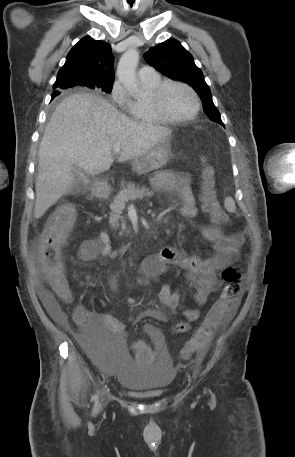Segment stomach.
<instances>
[{
    "instance_id": "1",
    "label": "stomach",
    "mask_w": 295,
    "mask_h": 457,
    "mask_svg": "<svg viewBox=\"0 0 295 457\" xmlns=\"http://www.w3.org/2000/svg\"><path fill=\"white\" fill-rule=\"evenodd\" d=\"M173 156L170 137L143 155L134 158L132 160V167L136 173L145 174L164 166ZM100 186L106 187V184L96 185V189L98 190Z\"/></svg>"
}]
</instances>
